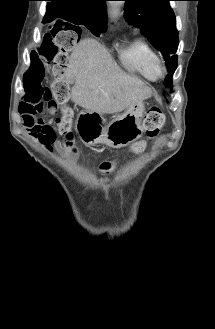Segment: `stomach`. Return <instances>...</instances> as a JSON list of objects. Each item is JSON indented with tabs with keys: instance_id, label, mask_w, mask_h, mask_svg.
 <instances>
[{
	"instance_id": "1",
	"label": "stomach",
	"mask_w": 215,
	"mask_h": 329,
	"mask_svg": "<svg viewBox=\"0 0 215 329\" xmlns=\"http://www.w3.org/2000/svg\"><path fill=\"white\" fill-rule=\"evenodd\" d=\"M142 101L128 107L123 114L115 116L105 127L97 130L93 144L103 143L112 148L124 147L139 138L143 133L142 117L144 114ZM84 114L97 115L88 111Z\"/></svg>"
}]
</instances>
